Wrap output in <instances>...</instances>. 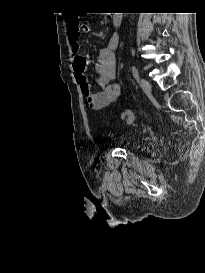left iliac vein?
<instances>
[{"mask_svg": "<svg viewBox=\"0 0 205 273\" xmlns=\"http://www.w3.org/2000/svg\"><path fill=\"white\" fill-rule=\"evenodd\" d=\"M140 86L145 93H149L151 91V85L149 81L144 78L140 79Z\"/></svg>", "mask_w": 205, "mask_h": 273, "instance_id": "1", "label": "left iliac vein"}]
</instances>
